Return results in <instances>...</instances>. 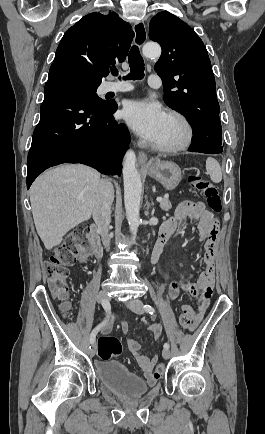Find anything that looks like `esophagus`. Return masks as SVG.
Here are the masks:
<instances>
[{"label": "esophagus", "instance_id": "obj_1", "mask_svg": "<svg viewBox=\"0 0 265 434\" xmlns=\"http://www.w3.org/2000/svg\"><path fill=\"white\" fill-rule=\"evenodd\" d=\"M133 31H134V45L137 47H142L144 43L147 40V30L145 27V24L142 20H139L138 22L134 23L133 25ZM138 161L141 167H146L149 165L148 163V157L145 152H139L138 154Z\"/></svg>", "mask_w": 265, "mask_h": 434}]
</instances>
